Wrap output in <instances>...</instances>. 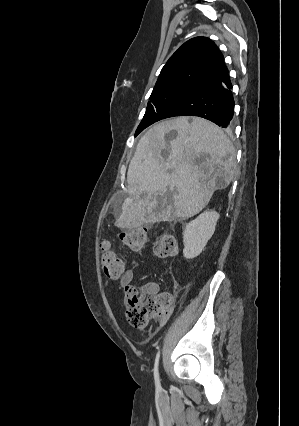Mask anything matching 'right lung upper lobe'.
<instances>
[{"label": "right lung upper lobe", "instance_id": "cb5924a9", "mask_svg": "<svg viewBox=\"0 0 299 426\" xmlns=\"http://www.w3.org/2000/svg\"><path fill=\"white\" fill-rule=\"evenodd\" d=\"M228 73L224 58L214 42L195 37L184 43L167 61L155 86L186 83L200 86Z\"/></svg>", "mask_w": 299, "mask_h": 426}]
</instances>
